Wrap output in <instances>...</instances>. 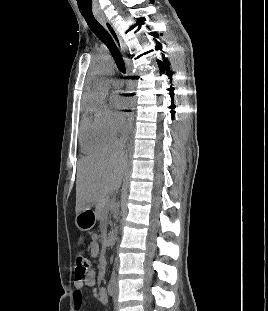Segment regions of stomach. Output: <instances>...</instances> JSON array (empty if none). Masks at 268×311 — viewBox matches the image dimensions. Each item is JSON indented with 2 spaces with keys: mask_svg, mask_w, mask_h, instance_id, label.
Segmentation results:
<instances>
[{
  "mask_svg": "<svg viewBox=\"0 0 268 311\" xmlns=\"http://www.w3.org/2000/svg\"><path fill=\"white\" fill-rule=\"evenodd\" d=\"M96 219L95 212L91 209V206H88L76 214L75 225L81 231H88L93 228Z\"/></svg>",
  "mask_w": 268,
  "mask_h": 311,
  "instance_id": "stomach-1",
  "label": "stomach"
}]
</instances>
